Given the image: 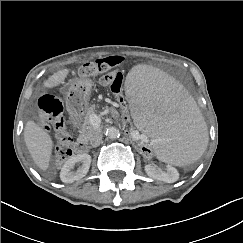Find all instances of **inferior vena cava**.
<instances>
[{"label": "inferior vena cava", "instance_id": "obj_1", "mask_svg": "<svg viewBox=\"0 0 243 243\" xmlns=\"http://www.w3.org/2000/svg\"><path fill=\"white\" fill-rule=\"evenodd\" d=\"M101 141H102V136L100 134L96 135L91 141L92 147H98Z\"/></svg>", "mask_w": 243, "mask_h": 243}]
</instances>
